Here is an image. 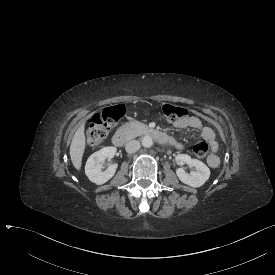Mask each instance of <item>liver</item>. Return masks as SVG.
I'll use <instances>...</instances> for the list:
<instances>
[{
  "instance_id": "6515ba94",
  "label": "liver",
  "mask_w": 275,
  "mask_h": 275,
  "mask_svg": "<svg viewBox=\"0 0 275 275\" xmlns=\"http://www.w3.org/2000/svg\"><path fill=\"white\" fill-rule=\"evenodd\" d=\"M86 148L85 123H83L73 135L71 140L69 154L73 167L77 171L82 169L83 154Z\"/></svg>"
}]
</instances>
